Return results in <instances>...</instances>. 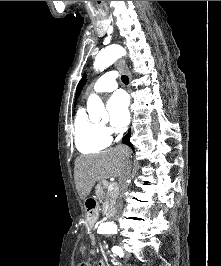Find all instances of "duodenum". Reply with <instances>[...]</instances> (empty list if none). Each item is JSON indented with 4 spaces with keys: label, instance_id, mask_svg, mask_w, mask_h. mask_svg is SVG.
Segmentation results:
<instances>
[{
    "label": "duodenum",
    "instance_id": "410a0bca",
    "mask_svg": "<svg viewBox=\"0 0 221 266\" xmlns=\"http://www.w3.org/2000/svg\"><path fill=\"white\" fill-rule=\"evenodd\" d=\"M96 203L93 198H88L86 201V209L88 212V225L91 227L95 223V214H96ZM108 216H115V212L117 211L116 207H108Z\"/></svg>",
    "mask_w": 221,
    "mask_h": 266
}]
</instances>
